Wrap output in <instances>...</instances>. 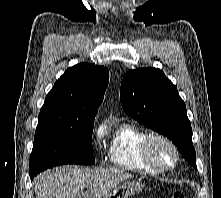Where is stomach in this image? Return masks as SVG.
<instances>
[{"instance_id": "obj_1", "label": "stomach", "mask_w": 221, "mask_h": 198, "mask_svg": "<svg viewBox=\"0 0 221 198\" xmlns=\"http://www.w3.org/2000/svg\"><path fill=\"white\" fill-rule=\"evenodd\" d=\"M142 191L143 185L140 182L127 180L103 198H131L132 196L139 195Z\"/></svg>"}]
</instances>
